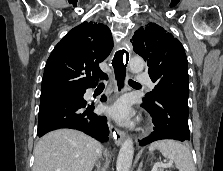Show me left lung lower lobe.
<instances>
[{"label":"left lung lower lobe","instance_id":"1","mask_svg":"<svg viewBox=\"0 0 223 171\" xmlns=\"http://www.w3.org/2000/svg\"><path fill=\"white\" fill-rule=\"evenodd\" d=\"M142 107L152 116L155 127L154 132L140 141V146L162 139L190 140L187 101L177 95L164 93L154 104H143Z\"/></svg>","mask_w":223,"mask_h":171}]
</instances>
